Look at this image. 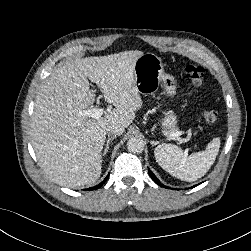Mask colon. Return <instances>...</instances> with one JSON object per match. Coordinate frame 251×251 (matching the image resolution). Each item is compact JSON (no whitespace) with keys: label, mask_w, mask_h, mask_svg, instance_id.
Instances as JSON below:
<instances>
[{"label":"colon","mask_w":251,"mask_h":251,"mask_svg":"<svg viewBox=\"0 0 251 251\" xmlns=\"http://www.w3.org/2000/svg\"><path fill=\"white\" fill-rule=\"evenodd\" d=\"M185 75L195 86H200L204 80L205 70L203 67L187 65L184 68ZM218 112L213 108H206L203 111V118L207 123H214L218 119Z\"/></svg>","instance_id":"colon-1"}]
</instances>
